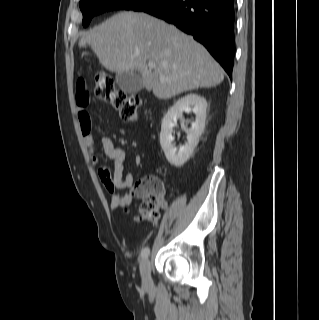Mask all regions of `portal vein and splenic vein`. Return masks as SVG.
<instances>
[{
    "mask_svg": "<svg viewBox=\"0 0 319 320\" xmlns=\"http://www.w3.org/2000/svg\"><path fill=\"white\" fill-rule=\"evenodd\" d=\"M148 67H149L150 69H154V68H155V63L149 62V63H148ZM160 79H161V80H164L163 77H161Z\"/></svg>",
    "mask_w": 319,
    "mask_h": 320,
    "instance_id": "obj_1",
    "label": "portal vein and splenic vein"
}]
</instances>
